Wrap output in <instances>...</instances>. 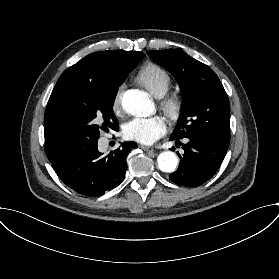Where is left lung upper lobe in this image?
I'll use <instances>...</instances> for the list:
<instances>
[{
    "label": "left lung upper lobe",
    "mask_w": 279,
    "mask_h": 279,
    "mask_svg": "<svg viewBox=\"0 0 279 279\" xmlns=\"http://www.w3.org/2000/svg\"><path fill=\"white\" fill-rule=\"evenodd\" d=\"M148 55L176 78L183 93L172 136L212 133L230 138V102L215 72L179 49L152 50Z\"/></svg>",
    "instance_id": "5c2ea615"
}]
</instances>
